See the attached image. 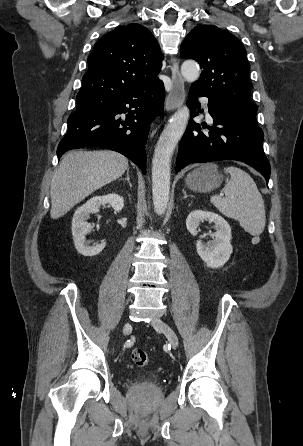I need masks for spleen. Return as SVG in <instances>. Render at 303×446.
Instances as JSON below:
<instances>
[{
	"instance_id": "spleen-1",
	"label": "spleen",
	"mask_w": 303,
	"mask_h": 446,
	"mask_svg": "<svg viewBox=\"0 0 303 446\" xmlns=\"http://www.w3.org/2000/svg\"><path fill=\"white\" fill-rule=\"evenodd\" d=\"M230 174L223 189L225 197L214 195L211 203L225 216L239 221L252 236L260 235L265 228L266 216L262 195L252 177L237 167L224 168Z\"/></svg>"
}]
</instances>
